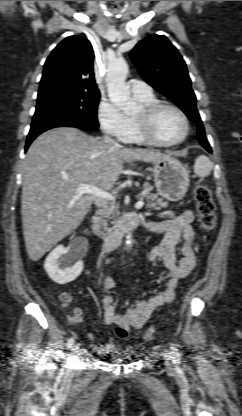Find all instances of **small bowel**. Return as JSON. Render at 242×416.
<instances>
[{"instance_id":"obj_1","label":"small bowel","mask_w":242,"mask_h":416,"mask_svg":"<svg viewBox=\"0 0 242 416\" xmlns=\"http://www.w3.org/2000/svg\"><path fill=\"white\" fill-rule=\"evenodd\" d=\"M160 217V221L147 222L145 227L152 233L164 235L161 243L150 251L149 260L156 266L162 265L164 267L167 279L165 288L147 300L132 302L124 313H118L114 306V300L109 294L115 288V281L112 278L105 279L102 283L104 292L102 305L104 321L107 325L123 326L127 331L131 328H142L158 307L174 301L180 281L188 276L195 266L194 232L192 228L194 213L186 211L177 216L172 212L166 211ZM180 238L183 240V246L181 248V257L179 258L176 252V245ZM62 298L67 300L69 297L64 294ZM82 318L83 310L76 307L73 309L68 321L70 323L80 322ZM88 337L94 340L92 334H88ZM92 347L100 355H108L115 349L111 338L105 344L94 343Z\"/></svg>"}]
</instances>
